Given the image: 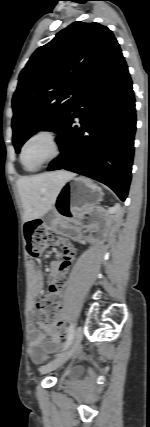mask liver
I'll use <instances>...</instances> for the list:
<instances>
[{
	"label": "liver",
	"instance_id": "6515ba94",
	"mask_svg": "<svg viewBox=\"0 0 150 427\" xmlns=\"http://www.w3.org/2000/svg\"><path fill=\"white\" fill-rule=\"evenodd\" d=\"M75 174L67 171L20 178L17 187L24 208V220L42 217L54 205L61 187Z\"/></svg>",
	"mask_w": 150,
	"mask_h": 427
}]
</instances>
